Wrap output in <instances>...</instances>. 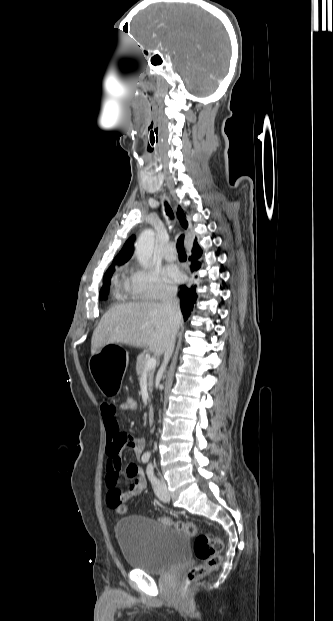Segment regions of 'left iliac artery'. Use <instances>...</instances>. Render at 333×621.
I'll use <instances>...</instances> for the list:
<instances>
[{"label":"left iliac artery","instance_id":"obj_1","mask_svg":"<svg viewBox=\"0 0 333 621\" xmlns=\"http://www.w3.org/2000/svg\"><path fill=\"white\" fill-rule=\"evenodd\" d=\"M146 474H147L149 481L152 483L154 488H156L159 485V480L156 478L154 474V466L152 463H149L147 465Z\"/></svg>","mask_w":333,"mask_h":621}]
</instances>
